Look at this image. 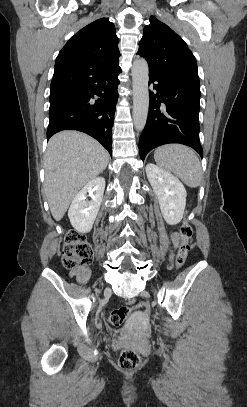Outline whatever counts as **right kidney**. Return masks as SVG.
Returning a JSON list of instances; mask_svg holds the SVG:
<instances>
[{"instance_id":"ca27d5eb","label":"right kidney","mask_w":247,"mask_h":407,"mask_svg":"<svg viewBox=\"0 0 247 407\" xmlns=\"http://www.w3.org/2000/svg\"><path fill=\"white\" fill-rule=\"evenodd\" d=\"M105 189V179L97 177L88 182L74 197L68 211V217L75 230L88 233L99 212ZM95 192V194H93ZM91 200H86L87 194Z\"/></svg>"}]
</instances>
